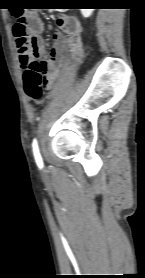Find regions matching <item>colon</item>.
I'll use <instances>...</instances> for the list:
<instances>
[{
    "label": "colon",
    "instance_id": "obj_1",
    "mask_svg": "<svg viewBox=\"0 0 145 278\" xmlns=\"http://www.w3.org/2000/svg\"><path fill=\"white\" fill-rule=\"evenodd\" d=\"M13 32L17 39L19 50H28L29 32L24 18L18 19L14 25ZM23 77L27 96L34 102H40L43 99L46 87V64L44 61L40 57L31 58Z\"/></svg>",
    "mask_w": 145,
    "mask_h": 278
}]
</instances>
